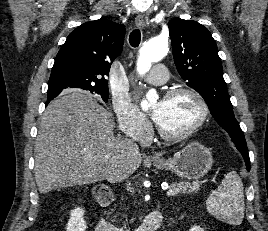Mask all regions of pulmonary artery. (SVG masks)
I'll use <instances>...</instances> for the list:
<instances>
[{"mask_svg":"<svg viewBox=\"0 0 268 231\" xmlns=\"http://www.w3.org/2000/svg\"><path fill=\"white\" fill-rule=\"evenodd\" d=\"M141 80L152 84H163L167 81V69L164 65H159L151 74L141 77Z\"/></svg>","mask_w":268,"mask_h":231,"instance_id":"e3ab8cb5","label":"pulmonary artery"}]
</instances>
